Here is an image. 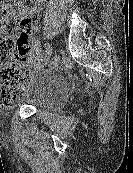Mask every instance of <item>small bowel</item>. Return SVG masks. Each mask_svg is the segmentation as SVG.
Listing matches in <instances>:
<instances>
[{"mask_svg":"<svg viewBox=\"0 0 133 173\" xmlns=\"http://www.w3.org/2000/svg\"><path fill=\"white\" fill-rule=\"evenodd\" d=\"M37 30H38L37 24H33L32 31L36 32ZM29 42H30L31 49L29 53L27 54L26 60L24 61L25 68L33 67L42 55L39 41L31 37L29 39Z\"/></svg>","mask_w":133,"mask_h":173,"instance_id":"obj_1","label":"small bowel"}]
</instances>
